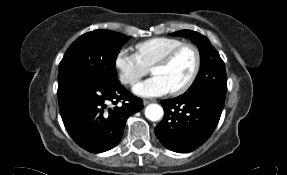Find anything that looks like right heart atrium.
Here are the masks:
<instances>
[{"instance_id": "right-heart-atrium-1", "label": "right heart atrium", "mask_w": 287, "mask_h": 175, "mask_svg": "<svg viewBox=\"0 0 287 175\" xmlns=\"http://www.w3.org/2000/svg\"><path fill=\"white\" fill-rule=\"evenodd\" d=\"M115 66L120 81L125 85H134L149 72V67L144 64L139 55L127 48H122L117 53Z\"/></svg>"}]
</instances>
